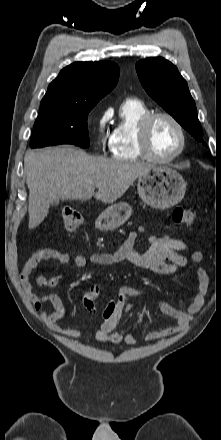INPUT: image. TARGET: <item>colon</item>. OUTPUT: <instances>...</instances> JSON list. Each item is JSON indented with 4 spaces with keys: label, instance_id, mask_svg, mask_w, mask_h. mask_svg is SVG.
Instances as JSON below:
<instances>
[{
    "label": "colon",
    "instance_id": "1",
    "mask_svg": "<svg viewBox=\"0 0 221 440\" xmlns=\"http://www.w3.org/2000/svg\"><path fill=\"white\" fill-rule=\"evenodd\" d=\"M62 227L65 232H72L79 229L82 225L81 214L73 208H64L61 212ZM172 220L182 226H190L195 220V212L192 208L185 206H178L172 211ZM98 297V288L92 287L83 301L84 307L89 310H94V304ZM117 303L115 300H108L104 303L100 315L102 318L111 319L113 313L116 311Z\"/></svg>",
    "mask_w": 221,
    "mask_h": 440
}]
</instances>
